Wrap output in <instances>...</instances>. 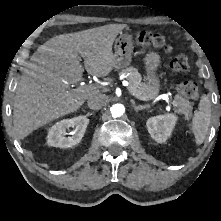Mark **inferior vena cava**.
<instances>
[{"mask_svg": "<svg viewBox=\"0 0 221 221\" xmlns=\"http://www.w3.org/2000/svg\"><path fill=\"white\" fill-rule=\"evenodd\" d=\"M107 102L108 99L104 94H96L89 97L87 105L92 110H98L105 106Z\"/></svg>", "mask_w": 221, "mask_h": 221, "instance_id": "602c4592", "label": "inferior vena cava"}]
</instances>
